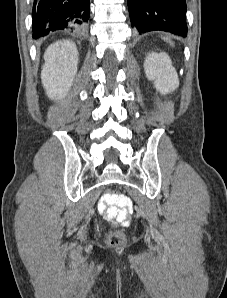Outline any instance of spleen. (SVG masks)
<instances>
[{
    "label": "spleen",
    "instance_id": "spleen-1",
    "mask_svg": "<svg viewBox=\"0 0 227 298\" xmlns=\"http://www.w3.org/2000/svg\"><path fill=\"white\" fill-rule=\"evenodd\" d=\"M163 39H164L165 41L169 42L171 45H173V43L170 41L169 38H167V37H163Z\"/></svg>",
    "mask_w": 227,
    "mask_h": 298
}]
</instances>
